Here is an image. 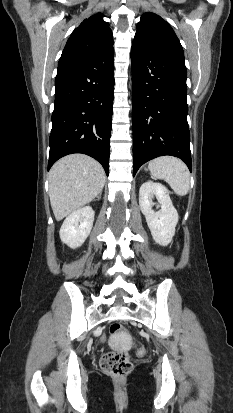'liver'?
I'll use <instances>...</instances> for the list:
<instances>
[{"label": "liver", "mask_w": 233, "mask_h": 413, "mask_svg": "<svg viewBox=\"0 0 233 413\" xmlns=\"http://www.w3.org/2000/svg\"><path fill=\"white\" fill-rule=\"evenodd\" d=\"M102 166L84 154L58 160L49 173V197L57 221L90 203L103 189Z\"/></svg>", "instance_id": "obj_1"}]
</instances>
